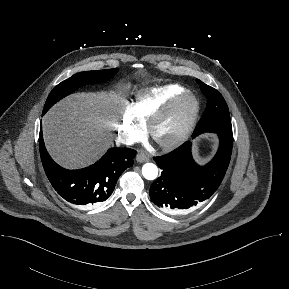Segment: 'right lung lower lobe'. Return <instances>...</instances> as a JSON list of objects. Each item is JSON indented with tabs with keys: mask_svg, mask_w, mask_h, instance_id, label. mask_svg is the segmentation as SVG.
I'll return each instance as SVG.
<instances>
[{
	"mask_svg": "<svg viewBox=\"0 0 289 289\" xmlns=\"http://www.w3.org/2000/svg\"><path fill=\"white\" fill-rule=\"evenodd\" d=\"M39 149L45 173L57 193L75 205H93L105 201L114 191L119 176L133 165L136 151L112 148L94 165L67 170L48 154L40 127Z\"/></svg>",
	"mask_w": 289,
	"mask_h": 289,
	"instance_id": "obj_1",
	"label": "right lung lower lobe"
}]
</instances>
